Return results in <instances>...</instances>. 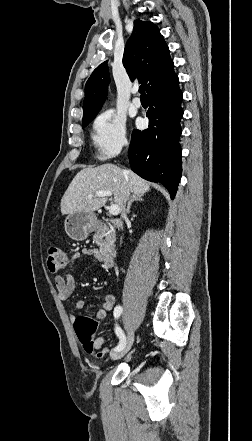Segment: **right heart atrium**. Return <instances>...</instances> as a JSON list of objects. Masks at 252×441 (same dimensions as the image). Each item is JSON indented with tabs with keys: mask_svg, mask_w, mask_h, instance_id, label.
Masks as SVG:
<instances>
[{
	"mask_svg": "<svg viewBox=\"0 0 252 441\" xmlns=\"http://www.w3.org/2000/svg\"><path fill=\"white\" fill-rule=\"evenodd\" d=\"M92 142L99 159L118 155L128 145L125 118L111 110L99 114L93 122Z\"/></svg>",
	"mask_w": 252,
	"mask_h": 441,
	"instance_id": "right-heart-atrium-1",
	"label": "right heart atrium"
}]
</instances>
